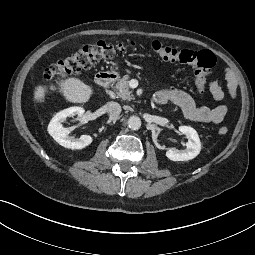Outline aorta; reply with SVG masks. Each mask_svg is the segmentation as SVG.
I'll use <instances>...</instances> for the list:
<instances>
[{"label":"aorta","mask_w":255,"mask_h":255,"mask_svg":"<svg viewBox=\"0 0 255 255\" xmlns=\"http://www.w3.org/2000/svg\"><path fill=\"white\" fill-rule=\"evenodd\" d=\"M127 124L130 129L138 130L141 127V119L133 115L128 119Z\"/></svg>","instance_id":"aorta-1"}]
</instances>
